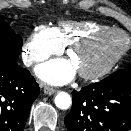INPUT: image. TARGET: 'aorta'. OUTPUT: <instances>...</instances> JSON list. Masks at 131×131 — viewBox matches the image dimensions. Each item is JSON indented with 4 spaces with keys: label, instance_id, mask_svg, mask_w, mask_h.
<instances>
[{
    "label": "aorta",
    "instance_id": "762f6f07",
    "mask_svg": "<svg viewBox=\"0 0 131 131\" xmlns=\"http://www.w3.org/2000/svg\"><path fill=\"white\" fill-rule=\"evenodd\" d=\"M55 105L62 110L68 109L72 104L71 96L66 92H59L55 97Z\"/></svg>",
    "mask_w": 131,
    "mask_h": 131
}]
</instances>
